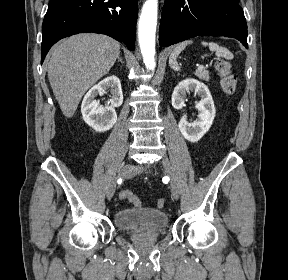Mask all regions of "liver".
Instances as JSON below:
<instances>
[{
    "instance_id": "liver-1",
    "label": "liver",
    "mask_w": 288,
    "mask_h": 280,
    "mask_svg": "<svg viewBox=\"0 0 288 280\" xmlns=\"http://www.w3.org/2000/svg\"><path fill=\"white\" fill-rule=\"evenodd\" d=\"M119 55L117 41L94 33L71 36L52 50L48 79L66 117L74 115L82 96L110 71Z\"/></svg>"
}]
</instances>
